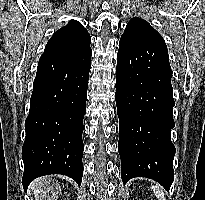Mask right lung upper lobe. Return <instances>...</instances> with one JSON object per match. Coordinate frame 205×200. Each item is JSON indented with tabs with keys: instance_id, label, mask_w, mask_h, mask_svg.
I'll return each instance as SVG.
<instances>
[{
	"instance_id": "obj_1",
	"label": "right lung upper lobe",
	"mask_w": 205,
	"mask_h": 200,
	"mask_svg": "<svg viewBox=\"0 0 205 200\" xmlns=\"http://www.w3.org/2000/svg\"><path fill=\"white\" fill-rule=\"evenodd\" d=\"M91 37L78 21L69 23L56 31L44 50V54H77L90 48Z\"/></svg>"
}]
</instances>
